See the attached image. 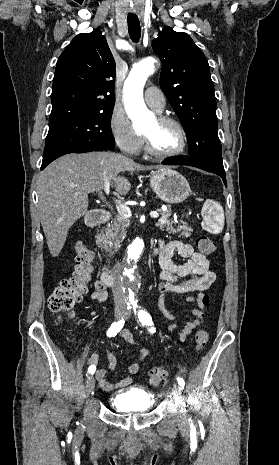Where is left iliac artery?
I'll return each instance as SVG.
<instances>
[{
    "mask_svg": "<svg viewBox=\"0 0 279 465\" xmlns=\"http://www.w3.org/2000/svg\"><path fill=\"white\" fill-rule=\"evenodd\" d=\"M133 309H134V312L135 314H137L138 318H139V321L141 322L142 325H146V326H150V332H155V328L153 327V321H152V317L150 316V314L141 309L140 307H138V305H134L133 306ZM177 382L178 384L183 388L184 385H185V382L182 378L178 377L177 378Z\"/></svg>",
    "mask_w": 279,
    "mask_h": 465,
    "instance_id": "left-iliac-artery-1",
    "label": "left iliac artery"
}]
</instances>
